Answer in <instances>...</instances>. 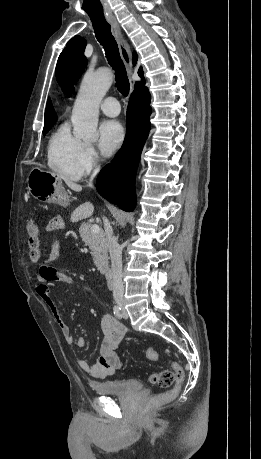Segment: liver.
I'll list each match as a JSON object with an SVG mask.
<instances>
[{
    "label": "liver",
    "mask_w": 261,
    "mask_h": 459,
    "mask_svg": "<svg viewBox=\"0 0 261 459\" xmlns=\"http://www.w3.org/2000/svg\"><path fill=\"white\" fill-rule=\"evenodd\" d=\"M58 177L60 179H64L62 176H59ZM65 183L67 184V186L73 190V191H76V192H80L82 191V186L79 185V184H76L72 181H69V180H66L64 179ZM93 211H94V206L92 203L90 202H85L83 204H81L74 212H73V215H72V220L76 221L78 219H82V218H87V217H90L92 216L93 214Z\"/></svg>",
    "instance_id": "liver-1"
}]
</instances>
